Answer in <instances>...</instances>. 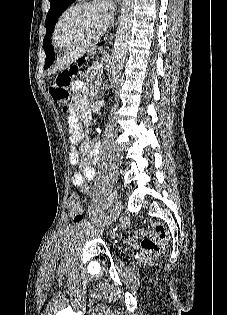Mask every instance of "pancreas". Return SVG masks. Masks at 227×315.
<instances>
[{"label":"pancreas","mask_w":227,"mask_h":315,"mask_svg":"<svg viewBox=\"0 0 227 315\" xmlns=\"http://www.w3.org/2000/svg\"><path fill=\"white\" fill-rule=\"evenodd\" d=\"M101 74V69H95L94 66L89 67L87 71L82 75L84 79H86L87 82H92L95 80L96 75Z\"/></svg>","instance_id":"cf45deb5"}]
</instances>
